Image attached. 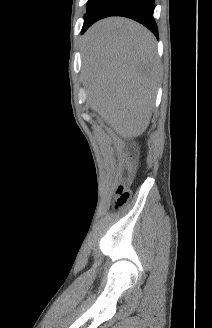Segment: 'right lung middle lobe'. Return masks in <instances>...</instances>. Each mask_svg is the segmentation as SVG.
Wrapping results in <instances>:
<instances>
[{"mask_svg":"<svg viewBox=\"0 0 212 328\" xmlns=\"http://www.w3.org/2000/svg\"><path fill=\"white\" fill-rule=\"evenodd\" d=\"M97 0H88L87 2V12L89 11V9L95 4ZM87 14V13H86ZM85 14V16H86Z\"/></svg>","mask_w":212,"mask_h":328,"instance_id":"obj_1","label":"right lung middle lobe"}]
</instances>
